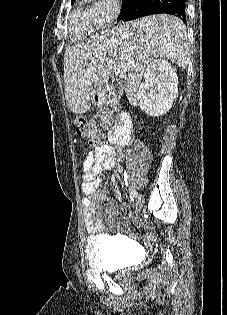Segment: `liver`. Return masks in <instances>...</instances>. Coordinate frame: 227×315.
<instances>
[{
	"label": "liver",
	"instance_id": "obj_1",
	"mask_svg": "<svg viewBox=\"0 0 227 315\" xmlns=\"http://www.w3.org/2000/svg\"><path fill=\"white\" fill-rule=\"evenodd\" d=\"M186 27L172 15H152L122 23L66 50L64 88L74 114L90 109L94 89L105 87L111 75L109 62L126 68V96L138 105V91L145 68L164 57L182 69L189 63Z\"/></svg>",
	"mask_w": 227,
	"mask_h": 315
}]
</instances>
